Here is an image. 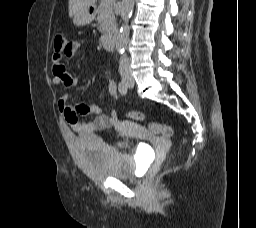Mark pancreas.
Here are the masks:
<instances>
[{
    "label": "pancreas",
    "mask_w": 256,
    "mask_h": 228,
    "mask_svg": "<svg viewBox=\"0 0 256 228\" xmlns=\"http://www.w3.org/2000/svg\"><path fill=\"white\" fill-rule=\"evenodd\" d=\"M114 0L107 2L101 0L97 9V21L100 24L99 31L102 34L110 32L115 27V16L113 12Z\"/></svg>",
    "instance_id": "obj_1"
}]
</instances>
